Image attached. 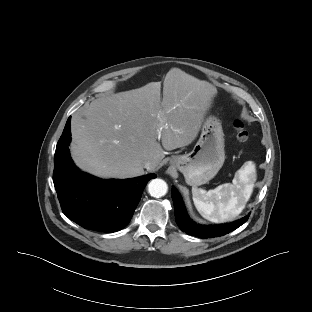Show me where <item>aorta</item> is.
<instances>
[{
    "label": "aorta",
    "instance_id": "obj_1",
    "mask_svg": "<svg viewBox=\"0 0 312 312\" xmlns=\"http://www.w3.org/2000/svg\"><path fill=\"white\" fill-rule=\"evenodd\" d=\"M168 186L162 179H153L148 184V192L152 197H162L167 193Z\"/></svg>",
    "mask_w": 312,
    "mask_h": 312
}]
</instances>
